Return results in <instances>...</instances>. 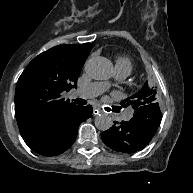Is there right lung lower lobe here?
<instances>
[{"instance_id": "right-lung-lower-lobe-1", "label": "right lung lower lobe", "mask_w": 193, "mask_h": 193, "mask_svg": "<svg viewBox=\"0 0 193 193\" xmlns=\"http://www.w3.org/2000/svg\"><path fill=\"white\" fill-rule=\"evenodd\" d=\"M91 115L92 107L90 105L86 107L79 106L51 133L23 139L38 154L44 156L58 155L73 144L80 123L91 117Z\"/></svg>"}]
</instances>
